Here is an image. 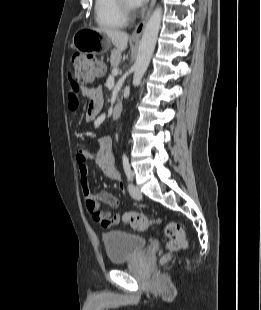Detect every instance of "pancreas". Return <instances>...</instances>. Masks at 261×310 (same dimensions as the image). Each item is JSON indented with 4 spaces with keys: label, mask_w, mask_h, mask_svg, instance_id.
<instances>
[{
    "label": "pancreas",
    "mask_w": 261,
    "mask_h": 310,
    "mask_svg": "<svg viewBox=\"0 0 261 310\" xmlns=\"http://www.w3.org/2000/svg\"><path fill=\"white\" fill-rule=\"evenodd\" d=\"M121 61V53L117 50L111 52L110 63L112 68H117Z\"/></svg>",
    "instance_id": "cf45deb5"
}]
</instances>
